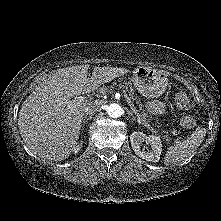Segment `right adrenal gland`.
I'll return each instance as SVG.
<instances>
[{
  "label": "right adrenal gland",
  "instance_id": "1",
  "mask_svg": "<svg viewBox=\"0 0 221 221\" xmlns=\"http://www.w3.org/2000/svg\"><path fill=\"white\" fill-rule=\"evenodd\" d=\"M86 119H88L87 116H85V119L83 120V123H85Z\"/></svg>",
  "mask_w": 221,
  "mask_h": 221
}]
</instances>
